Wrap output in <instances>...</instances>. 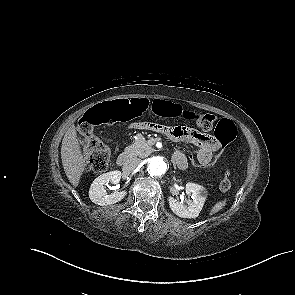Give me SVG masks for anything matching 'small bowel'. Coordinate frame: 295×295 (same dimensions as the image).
Wrapping results in <instances>:
<instances>
[{
	"label": "small bowel",
	"mask_w": 295,
	"mask_h": 295,
	"mask_svg": "<svg viewBox=\"0 0 295 295\" xmlns=\"http://www.w3.org/2000/svg\"><path fill=\"white\" fill-rule=\"evenodd\" d=\"M159 126V124L154 123H134L131 125V127L135 129L152 130L164 133L172 140L178 142L192 143L197 148L194 154L196 156V161L199 164L212 160L214 154L220 149V142L211 135L187 127L173 128L164 126L165 129L162 130ZM174 161L181 169L186 168L188 165V159L185 156L184 151L180 149L174 152Z\"/></svg>",
	"instance_id": "1"
}]
</instances>
